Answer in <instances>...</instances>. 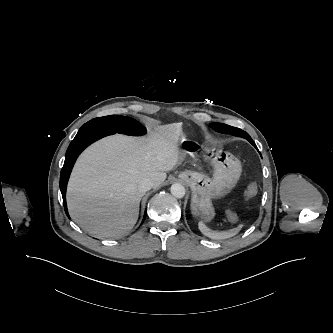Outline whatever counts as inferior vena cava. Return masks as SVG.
I'll return each mask as SVG.
<instances>
[{
	"instance_id": "602c4592",
	"label": "inferior vena cava",
	"mask_w": 333,
	"mask_h": 333,
	"mask_svg": "<svg viewBox=\"0 0 333 333\" xmlns=\"http://www.w3.org/2000/svg\"><path fill=\"white\" fill-rule=\"evenodd\" d=\"M153 187V182L149 178L142 179L138 184V189L142 193L149 191Z\"/></svg>"
}]
</instances>
